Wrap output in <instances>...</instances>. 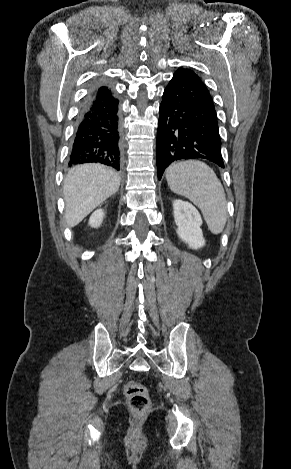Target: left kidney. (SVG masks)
Wrapping results in <instances>:
<instances>
[{"instance_id":"5707ae66","label":"left kidney","mask_w":291,"mask_h":469,"mask_svg":"<svg viewBox=\"0 0 291 469\" xmlns=\"http://www.w3.org/2000/svg\"><path fill=\"white\" fill-rule=\"evenodd\" d=\"M174 220L179 238L192 249H200L205 245L200 228L202 219L198 210L189 202L174 200Z\"/></svg>"}]
</instances>
